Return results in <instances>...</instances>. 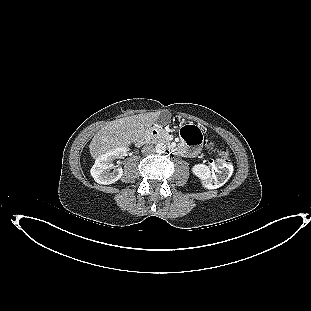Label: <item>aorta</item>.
<instances>
[{
  "mask_svg": "<svg viewBox=\"0 0 311 311\" xmlns=\"http://www.w3.org/2000/svg\"><path fill=\"white\" fill-rule=\"evenodd\" d=\"M155 151L159 154H163L166 151V144L160 142L155 146Z\"/></svg>",
  "mask_w": 311,
  "mask_h": 311,
  "instance_id": "aorta-1",
  "label": "aorta"
}]
</instances>
